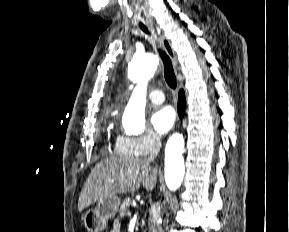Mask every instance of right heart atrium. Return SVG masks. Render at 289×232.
<instances>
[{
	"label": "right heart atrium",
	"mask_w": 289,
	"mask_h": 232,
	"mask_svg": "<svg viewBox=\"0 0 289 232\" xmlns=\"http://www.w3.org/2000/svg\"><path fill=\"white\" fill-rule=\"evenodd\" d=\"M160 147V139L152 132L141 135L120 134L115 143L119 154L127 156H146L155 152Z\"/></svg>",
	"instance_id": "right-heart-atrium-1"
}]
</instances>
